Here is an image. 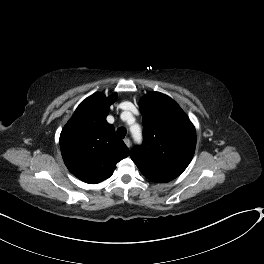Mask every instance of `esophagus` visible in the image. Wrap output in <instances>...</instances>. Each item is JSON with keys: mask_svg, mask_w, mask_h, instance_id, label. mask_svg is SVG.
<instances>
[{"mask_svg": "<svg viewBox=\"0 0 264 264\" xmlns=\"http://www.w3.org/2000/svg\"><path fill=\"white\" fill-rule=\"evenodd\" d=\"M124 143L128 148L131 146V141L128 138L124 139Z\"/></svg>", "mask_w": 264, "mask_h": 264, "instance_id": "1", "label": "esophagus"}]
</instances>
